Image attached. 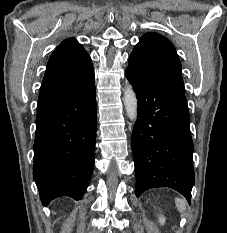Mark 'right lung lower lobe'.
<instances>
[{
	"mask_svg": "<svg viewBox=\"0 0 227 233\" xmlns=\"http://www.w3.org/2000/svg\"><path fill=\"white\" fill-rule=\"evenodd\" d=\"M96 113L94 81L37 112L33 178L44 205L84 195L94 165Z\"/></svg>",
	"mask_w": 227,
	"mask_h": 233,
	"instance_id": "right-lung-lower-lobe-1",
	"label": "right lung lower lobe"
}]
</instances>
